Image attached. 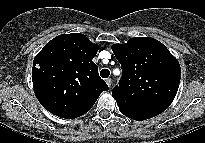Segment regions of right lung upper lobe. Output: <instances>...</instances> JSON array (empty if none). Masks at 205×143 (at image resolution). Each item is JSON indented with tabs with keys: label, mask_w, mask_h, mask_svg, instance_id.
I'll return each instance as SVG.
<instances>
[{
	"label": "right lung upper lobe",
	"mask_w": 205,
	"mask_h": 143,
	"mask_svg": "<svg viewBox=\"0 0 205 143\" xmlns=\"http://www.w3.org/2000/svg\"><path fill=\"white\" fill-rule=\"evenodd\" d=\"M98 45L80 33L49 41L36 55L32 81L39 102L52 114L73 119L87 113L108 86L92 61Z\"/></svg>",
	"instance_id": "obj_1"
}]
</instances>
